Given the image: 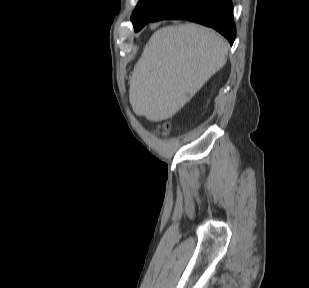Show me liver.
Instances as JSON below:
<instances>
[{"label":"liver","instance_id":"liver-1","mask_svg":"<svg viewBox=\"0 0 309 288\" xmlns=\"http://www.w3.org/2000/svg\"><path fill=\"white\" fill-rule=\"evenodd\" d=\"M228 51L221 35L195 23L157 30L130 80L134 113L152 122L172 118L225 65Z\"/></svg>","mask_w":309,"mask_h":288}]
</instances>
